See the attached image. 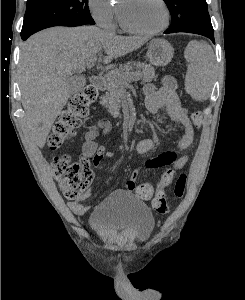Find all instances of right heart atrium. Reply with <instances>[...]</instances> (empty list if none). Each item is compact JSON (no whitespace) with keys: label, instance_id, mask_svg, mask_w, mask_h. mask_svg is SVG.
<instances>
[{"label":"right heart atrium","instance_id":"d8ad5b80","mask_svg":"<svg viewBox=\"0 0 245 300\" xmlns=\"http://www.w3.org/2000/svg\"><path fill=\"white\" fill-rule=\"evenodd\" d=\"M88 6L98 25L110 30L116 28L118 9L111 0H88Z\"/></svg>","mask_w":245,"mask_h":300}]
</instances>
